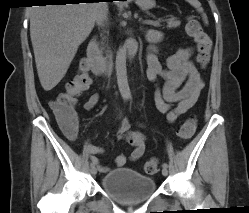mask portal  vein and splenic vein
Here are the masks:
<instances>
[{
	"mask_svg": "<svg viewBox=\"0 0 249 213\" xmlns=\"http://www.w3.org/2000/svg\"><path fill=\"white\" fill-rule=\"evenodd\" d=\"M144 23L149 24V25H156L155 22L153 20H150V19L145 20Z\"/></svg>",
	"mask_w": 249,
	"mask_h": 213,
	"instance_id": "obj_1",
	"label": "portal vein and splenic vein"
}]
</instances>
